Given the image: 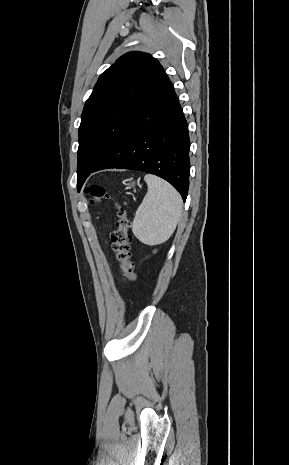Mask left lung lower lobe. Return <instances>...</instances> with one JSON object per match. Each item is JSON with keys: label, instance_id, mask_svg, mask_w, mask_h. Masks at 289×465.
Instances as JSON below:
<instances>
[{"label": "left lung lower lobe", "instance_id": "1", "mask_svg": "<svg viewBox=\"0 0 289 465\" xmlns=\"http://www.w3.org/2000/svg\"><path fill=\"white\" fill-rule=\"evenodd\" d=\"M124 168L155 174L186 201L189 188V135L186 119L168 80L145 104L132 125L92 172Z\"/></svg>", "mask_w": 289, "mask_h": 465}]
</instances>
